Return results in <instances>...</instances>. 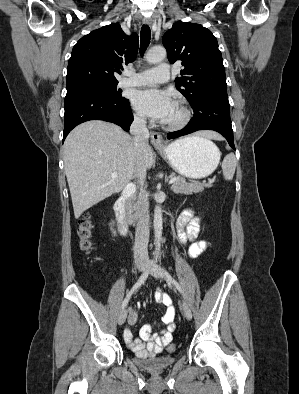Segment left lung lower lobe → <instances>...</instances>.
<instances>
[{
    "instance_id": "0a47b994",
    "label": "left lung lower lobe",
    "mask_w": 299,
    "mask_h": 394,
    "mask_svg": "<svg viewBox=\"0 0 299 394\" xmlns=\"http://www.w3.org/2000/svg\"><path fill=\"white\" fill-rule=\"evenodd\" d=\"M191 107L194 115L189 124L182 130L168 133L167 139L209 129L222 134L235 150L227 91L208 92L202 95Z\"/></svg>"
}]
</instances>
